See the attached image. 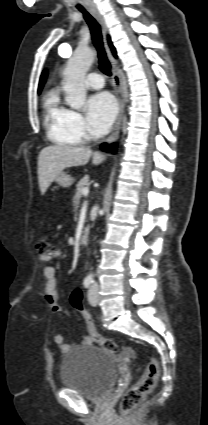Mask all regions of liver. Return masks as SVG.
I'll list each match as a JSON object with an SVG mask.
<instances>
[{
	"label": "liver",
	"mask_w": 208,
	"mask_h": 425,
	"mask_svg": "<svg viewBox=\"0 0 208 425\" xmlns=\"http://www.w3.org/2000/svg\"><path fill=\"white\" fill-rule=\"evenodd\" d=\"M90 157L94 165H99L105 160L103 154L84 147L60 144L43 148L38 156V182L41 194H45L53 180L65 168L86 165Z\"/></svg>",
	"instance_id": "obj_1"
}]
</instances>
